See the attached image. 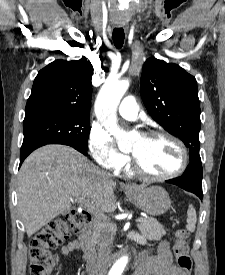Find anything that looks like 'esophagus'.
<instances>
[{
  "mask_svg": "<svg viewBox=\"0 0 225 275\" xmlns=\"http://www.w3.org/2000/svg\"><path fill=\"white\" fill-rule=\"evenodd\" d=\"M125 188H126V189H133V188H134V185H132V184H127V185H125Z\"/></svg>",
  "mask_w": 225,
  "mask_h": 275,
  "instance_id": "34e87169",
  "label": "esophagus"
}]
</instances>
